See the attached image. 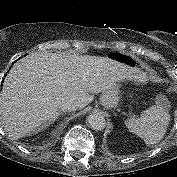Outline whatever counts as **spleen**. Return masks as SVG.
<instances>
[{
    "label": "spleen",
    "mask_w": 177,
    "mask_h": 177,
    "mask_svg": "<svg viewBox=\"0 0 177 177\" xmlns=\"http://www.w3.org/2000/svg\"><path fill=\"white\" fill-rule=\"evenodd\" d=\"M168 109V99L164 95H158L155 105L143 111L139 118L127 120L125 125L147 145L157 144L163 139L170 122Z\"/></svg>",
    "instance_id": "3e777b00"
}]
</instances>
